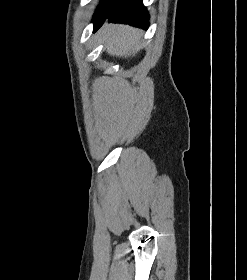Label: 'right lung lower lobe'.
I'll return each mask as SVG.
<instances>
[{"label":"right lung lower lobe","mask_w":247,"mask_h":280,"mask_svg":"<svg viewBox=\"0 0 247 280\" xmlns=\"http://www.w3.org/2000/svg\"><path fill=\"white\" fill-rule=\"evenodd\" d=\"M113 23H124L147 29L149 26V14L142 0H114L104 15L94 21L96 31L105 20Z\"/></svg>","instance_id":"98d812e1"}]
</instances>
